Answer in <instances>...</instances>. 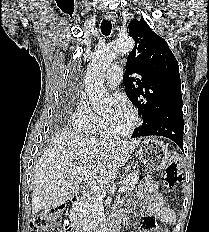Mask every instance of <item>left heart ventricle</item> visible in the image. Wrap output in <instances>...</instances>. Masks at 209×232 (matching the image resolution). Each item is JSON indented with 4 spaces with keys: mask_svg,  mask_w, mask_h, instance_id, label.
<instances>
[{
    "mask_svg": "<svg viewBox=\"0 0 209 232\" xmlns=\"http://www.w3.org/2000/svg\"><path fill=\"white\" fill-rule=\"evenodd\" d=\"M104 119L107 121L109 129L114 132L125 131L131 124V117L127 111L122 114H115L114 111L109 109L104 114Z\"/></svg>",
    "mask_w": 209,
    "mask_h": 232,
    "instance_id": "1",
    "label": "left heart ventricle"
}]
</instances>
